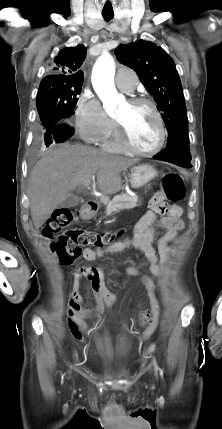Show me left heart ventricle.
I'll return each instance as SVG.
<instances>
[{
  "label": "left heart ventricle",
  "mask_w": 222,
  "mask_h": 429,
  "mask_svg": "<svg viewBox=\"0 0 222 429\" xmlns=\"http://www.w3.org/2000/svg\"><path fill=\"white\" fill-rule=\"evenodd\" d=\"M116 119L125 126L129 139L136 148L146 151L157 145L158 124L149 107L126 102L116 115Z\"/></svg>",
  "instance_id": "1"
}]
</instances>
